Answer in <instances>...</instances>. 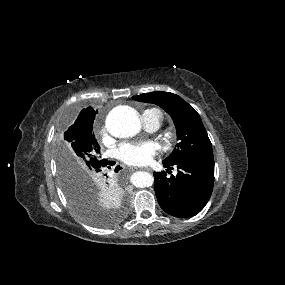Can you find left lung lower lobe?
<instances>
[{"mask_svg": "<svg viewBox=\"0 0 285 285\" xmlns=\"http://www.w3.org/2000/svg\"><path fill=\"white\" fill-rule=\"evenodd\" d=\"M163 166L177 167L176 176L155 172V194L161 208L168 214L188 218L199 213L207 204L214 185V160L185 161Z\"/></svg>", "mask_w": 285, "mask_h": 285, "instance_id": "0a47b994", "label": "left lung lower lobe"}]
</instances>
